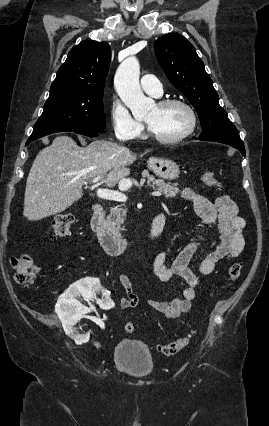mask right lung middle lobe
Here are the masks:
<instances>
[{
    "label": "right lung middle lobe",
    "mask_w": 269,
    "mask_h": 426,
    "mask_svg": "<svg viewBox=\"0 0 269 426\" xmlns=\"http://www.w3.org/2000/svg\"><path fill=\"white\" fill-rule=\"evenodd\" d=\"M102 98L103 95L87 93H50L28 140L34 141L55 132L83 129L102 132L106 126Z\"/></svg>",
    "instance_id": "right-lung-middle-lobe-1"
}]
</instances>
